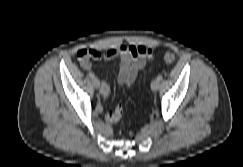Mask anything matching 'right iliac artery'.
Wrapping results in <instances>:
<instances>
[{"instance_id":"1","label":"right iliac artery","mask_w":243,"mask_h":167,"mask_svg":"<svg viewBox=\"0 0 243 167\" xmlns=\"http://www.w3.org/2000/svg\"><path fill=\"white\" fill-rule=\"evenodd\" d=\"M89 77L92 78V79H94V78H95L94 73L90 72V73H89Z\"/></svg>"}]
</instances>
